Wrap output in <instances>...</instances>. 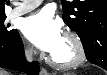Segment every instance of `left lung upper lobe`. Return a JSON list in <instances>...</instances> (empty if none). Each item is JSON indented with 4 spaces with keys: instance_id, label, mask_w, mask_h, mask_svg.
Here are the masks:
<instances>
[{
    "instance_id": "obj_1",
    "label": "left lung upper lobe",
    "mask_w": 107,
    "mask_h": 75,
    "mask_svg": "<svg viewBox=\"0 0 107 75\" xmlns=\"http://www.w3.org/2000/svg\"><path fill=\"white\" fill-rule=\"evenodd\" d=\"M63 20L80 37L86 57L107 44V0H61Z\"/></svg>"
}]
</instances>
